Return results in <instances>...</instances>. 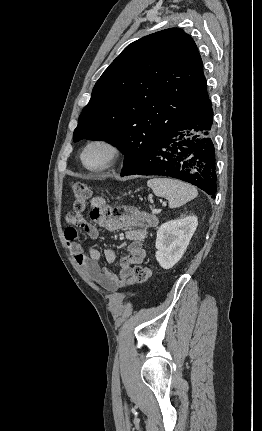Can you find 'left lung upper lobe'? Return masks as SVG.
Segmentation results:
<instances>
[{
  "instance_id": "1",
  "label": "left lung upper lobe",
  "mask_w": 262,
  "mask_h": 431,
  "mask_svg": "<svg viewBox=\"0 0 262 431\" xmlns=\"http://www.w3.org/2000/svg\"><path fill=\"white\" fill-rule=\"evenodd\" d=\"M207 99L195 42L179 28L162 30L131 43L104 71L73 140L118 147L125 153L124 175Z\"/></svg>"
}]
</instances>
